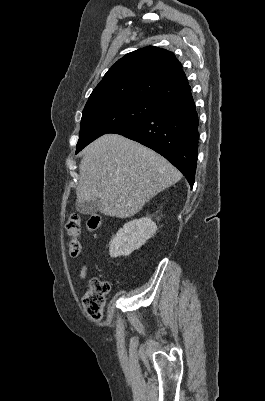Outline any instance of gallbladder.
I'll list each match as a JSON object with an SVG mask.
<instances>
[{
  "label": "gallbladder",
  "instance_id": "1",
  "mask_svg": "<svg viewBox=\"0 0 265 401\" xmlns=\"http://www.w3.org/2000/svg\"><path fill=\"white\" fill-rule=\"evenodd\" d=\"M100 207V198H96V201H84V203H76V211L82 213V215H96Z\"/></svg>",
  "mask_w": 265,
  "mask_h": 401
}]
</instances>
